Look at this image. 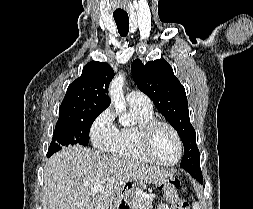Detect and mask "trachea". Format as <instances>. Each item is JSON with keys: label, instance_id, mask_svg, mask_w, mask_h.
<instances>
[{"label": "trachea", "instance_id": "trachea-1", "mask_svg": "<svg viewBox=\"0 0 253 209\" xmlns=\"http://www.w3.org/2000/svg\"><path fill=\"white\" fill-rule=\"evenodd\" d=\"M114 20L116 22L119 34L123 37L126 36L129 31L128 15H115Z\"/></svg>", "mask_w": 253, "mask_h": 209}]
</instances>
